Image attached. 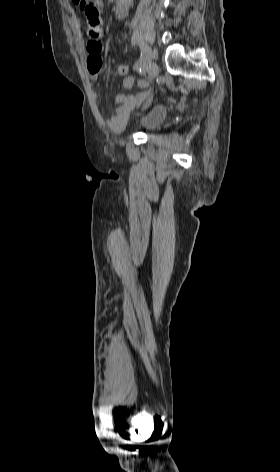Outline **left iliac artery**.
Instances as JSON below:
<instances>
[{
  "label": "left iliac artery",
  "instance_id": "obj_1",
  "mask_svg": "<svg viewBox=\"0 0 280 472\" xmlns=\"http://www.w3.org/2000/svg\"><path fill=\"white\" fill-rule=\"evenodd\" d=\"M147 61H148V49L144 47L142 48V51H141V57L137 61V63L134 64L133 69L137 71L141 70L145 66Z\"/></svg>",
  "mask_w": 280,
  "mask_h": 472
}]
</instances>
